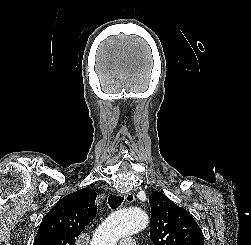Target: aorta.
Segmentation results:
<instances>
[{
	"label": "aorta",
	"instance_id": "1",
	"mask_svg": "<svg viewBox=\"0 0 251 245\" xmlns=\"http://www.w3.org/2000/svg\"><path fill=\"white\" fill-rule=\"evenodd\" d=\"M148 215L138 208H127L111 214L96 230L91 245H116L126 236L146 228Z\"/></svg>",
	"mask_w": 251,
	"mask_h": 245
}]
</instances>
